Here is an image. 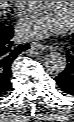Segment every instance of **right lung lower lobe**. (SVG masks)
I'll return each instance as SVG.
<instances>
[{"mask_svg":"<svg viewBox=\"0 0 74 122\" xmlns=\"http://www.w3.org/2000/svg\"><path fill=\"white\" fill-rule=\"evenodd\" d=\"M14 30L11 26L0 23V97L6 95L10 89L11 66L13 61L25 50L29 44L16 45L12 40Z\"/></svg>","mask_w":74,"mask_h":122,"instance_id":"1","label":"right lung lower lobe"}]
</instances>
